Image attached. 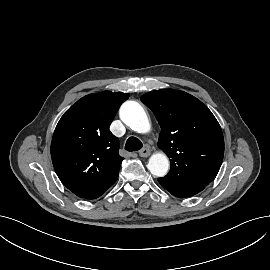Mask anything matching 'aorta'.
Segmentation results:
<instances>
[{
    "mask_svg": "<svg viewBox=\"0 0 270 270\" xmlns=\"http://www.w3.org/2000/svg\"><path fill=\"white\" fill-rule=\"evenodd\" d=\"M121 120L138 133H147L150 122L143 107L135 101H127L120 108ZM148 169L152 175L163 177L169 169V160L164 153L153 154L148 162Z\"/></svg>",
    "mask_w": 270,
    "mask_h": 270,
    "instance_id": "1",
    "label": "aorta"
}]
</instances>
